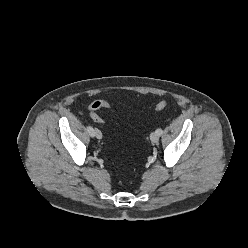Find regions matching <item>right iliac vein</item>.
Returning a JSON list of instances; mask_svg holds the SVG:
<instances>
[{
	"label": "right iliac vein",
	"mask_w": 248,
	"mask_h": 248,
	"mask_svg": "<svg viewBox=\"0 0 248 248\" xmlns=\"http://www.w3.org/2000/svg\"><path fill=\"white\" fill-rule=\"evenodd\" d=\"M94 136L98 139H101L102 138V133L100 130L98 129H94Z\"/></svg>",
	"instance_id": "1"
}]
</instances>
